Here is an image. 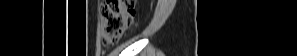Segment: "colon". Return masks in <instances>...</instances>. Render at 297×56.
Wrapping results in <instances>:
<instances>
[{
	"label": "colon",
	"instance_id": "1",
	"mask_svg": "<svg viewBox=\"0 0 297 56\" xmlns=\"http://www.w3.org/2000/svg\"><path fill=\"white\" fill-rule=\"evenodd\" d=\"M102 44H116L132 25L135 2L132 0H107L101 4Z\"/></svg>",
	"mask_w": 297,
	"mask_h": 56
}]
</instances>
